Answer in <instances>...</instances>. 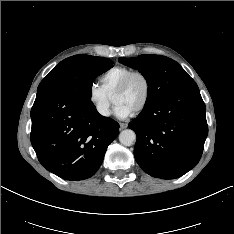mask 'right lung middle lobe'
<instances>
[{
    "label": "right lung middle lobe",
    "mask_w": 234,
    "mask_h": 234,
    "mask_svg": "<svg viewBox=\"0 0 234 234\" xmlns=\"http://www.w3.org/2000/svg\"><path fill=\"white\" fill-rule=\"evenodd\" d=\"M113 67L108 58L74 55L61 61L39 84L37 92L70 88L85 101H90L94 79Z\"/></svg>",
    "instance_id": "dd1d6c3e"
}]
</instances>
